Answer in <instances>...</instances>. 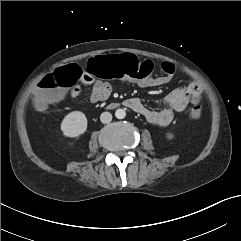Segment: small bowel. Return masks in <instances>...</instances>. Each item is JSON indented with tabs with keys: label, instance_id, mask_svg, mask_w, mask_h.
I'll return each instance as SVG.
<instances>
[{
	"label": "small bowel",
	"instance_id": "1",
	"mask_svg": "<svg viewBox=\"0 0 241 241\" xmlns=\"http://www.w3.org/2000/svg\"><path fill=\"white\" fill-rule=\"evenodd\" d=\"M173 75L162 77H150L139 81L144 87H154L167 84L171 81ZM83 85H92L89 102L96 104L109 98L112 92V85L107 81H95L93 76L82 69V75L79 78ZM82 93L80 85L74 86L70 90V96L74 99L79 98ZM202 99V87L200 83L194 81L184 87H179L171 91L162 99L163 107L159 110H152L146 107L143 102L136 97L126 100V105L143 116L148 122L158 125L167 126L173 119L175 113L183 112L189 105H198Z\"/></svg>",
	"mask_w": 241,
	"mask_h": 241
}]
</instances>
